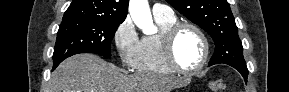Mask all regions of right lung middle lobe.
Wrapping results in <instances>:
<instances>
[{
    "label": "right lung middle lobe",
    "mask_w": 289,
    "mask_h": 92,
    "mask_svg": "<svg viewBox=\"0 0 289 92\" xmlns=\"http://www.w3.org/2000/svg\"><path fill=\"white\" fill-rule=\"evenodd\" d=\"M122 22L63 20L57 32L53 68L64 59L79 53L111 57V41Z\"/></svg>",
    "instance_id": "obj_1"
}]
</instances>
